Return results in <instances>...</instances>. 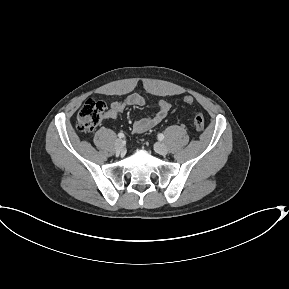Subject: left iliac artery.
I'll use <instances>...</instances> for the list:
<instances>
[{"instance_id":"obj_1","label":"left iliac artery","mask_w":289,"mask_h":289,"mask_svg":"<svg viewBox=\"0 0 289 289\" xmlns=\"http://www.w3.org/2000/svg\"><path fill=\"white\" fill-rule=\"evenodd\" d=\"M158 139L159 140H163L164 139V135L162 133L158 134Z\"/></svg>"}]
</instances>
